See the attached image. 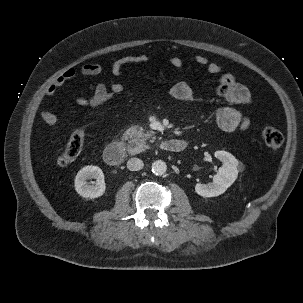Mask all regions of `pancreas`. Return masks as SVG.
Wrapping results in <instances>:
<instances>
[{
    "label": "pancreas",
    "instance_id": "cf45deb5",
    "mask_svg": "<svg viewBox=\"0 0 303 303\" xmlns=\"http://www.w3.org/2000/svg\"><path fill=\"white\" fill-rule=\"evenodd\" d=\"M123 138L129 141L128 152L132 155L149 148L147 141H155L153 131H145L142 127L132 126L124 132Z\"/></svg>",
    "mask_w": 303,
    "mask_h": 303
}]
</instances>
